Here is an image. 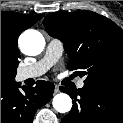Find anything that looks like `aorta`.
Here are the masks:
<instances>
[{"mask_svg": "<svg viewBox=\"0 0 123 123\" xmlns=\"http://www.w3.org/2000/svg\"><path fill=\"white\" fill-rule=\"evenodd\" d=\"M44 45L43 35L36 30H28L20 37V47L26 55L34 56L40 54ZM52 104L57 112L67 113L72 108V99L65 93H59L53 98Z\"/></svg>", "mask_w": 123, "mask_h": 123, "instance_id": "aorta-1", "label": "aorta"}]
</instances>
